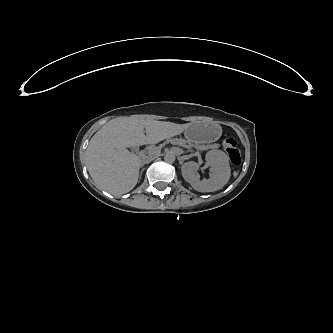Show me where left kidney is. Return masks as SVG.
I'll return each instance as SVG.
<instances>
[{
    "label": "left kidney",
    "instance_id": "1",
    "mask_svg": "<svg viewBox=\"0 0 333 333\" xmlns=\"http://www.w3.org/2000/svg\"><path fill=\"white\" fill-rule=\"evenodd\" d=\"M205 163L210 167L208 179H200L198 170L200 163L188 161L182 165V176L195 190L199 192H214L227 184L231 168L226 154L220 150L209 151L205 155Z\"/></svg>",
    "mask_w": 333,
    "mask_h": 333
}]
</instances>
